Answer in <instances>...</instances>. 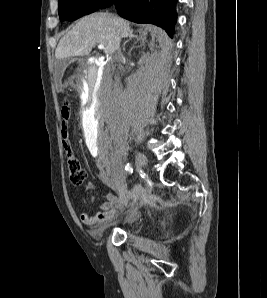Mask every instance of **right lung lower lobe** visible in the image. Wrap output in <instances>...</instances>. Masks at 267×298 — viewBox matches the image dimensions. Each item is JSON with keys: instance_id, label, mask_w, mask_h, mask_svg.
<instances>
[{"instance_id": "right-lung-lower-lobe-1", "label": "right lung lower lobe", "mask_w": 267, "mask_h": 298, "mask_svg": "<svg viewBox=\"0 0 267 298\" xmlns=\"http://www.w3.org/2000/svg\"><path fill=\"white\" fill-rule=\"evenodd\" d=\"M177 0H106L99 9L115 4L123 18L136 23H151L163 28L173 37Z\"/></svg>"}]
</instances>
